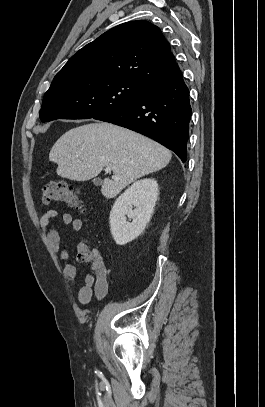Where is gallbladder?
<instances>
[{
  "mask_svg": "<svg viewBox=\"0 0 265 407\" xmlns=\"http://www.w3.org/2000/svg\"><path fill=\"white\" fill-rule=\"evenodd\" d=\"M93 183L98 186V185H101L102 181H101V179L96 178L93 180Z\"/></svg>",
  "mask_w": 265,
  "mask_h": 407,
  "instance_id": "obj_1",
  "label": "gallbladder"
}]
</instances>
